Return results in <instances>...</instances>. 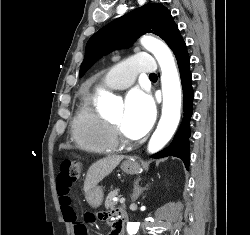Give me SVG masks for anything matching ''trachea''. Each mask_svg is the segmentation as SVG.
Instances as JSON below:
<instances>
[{
  "label": "trachea",
  "instance_id": "1",
  "mask_svg": "<svg viewBox=\"0 0 250 235\" xmlns=\"http://www.w3.org/2000/svg\"><path fill=\"white\" fill-rule=\"evenodd\" d=\"M149 77H157V75L155 73H152L149 75Z\"/></svg>",
  "mask_w": 250,
  "mask_h": 235
}]
</instances>
